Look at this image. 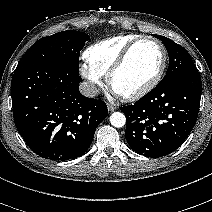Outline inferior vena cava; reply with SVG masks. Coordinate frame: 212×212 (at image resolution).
Masks as SVG:
<instances>
[{
  "mask_svg": "<svg viewBox=\"0 0 212 212\" xmlns=\"http://www.w3.org/2000/svg\"><path fill=\"white\" fill-rule=\"evenodd\" d=\"M79 89L81 94L86 97H94L98 93V89L93 83L82 82L79 85Z\"/></svg>",
  "mask_w": 212,
  "mask_h": 212,
  "instance_id": "602c4592",
  "label": "inferior vena cava"
}]
</instances>
